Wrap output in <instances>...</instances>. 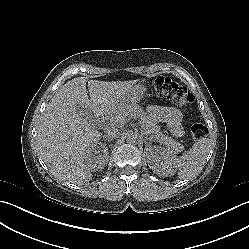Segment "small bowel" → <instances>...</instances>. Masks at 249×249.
Wrapping results in <instances>:
<instances>
[{
	"label": "small bowel",
	"mask_w": 249,
	"mask_h": 249,
	"mask_svg": "<svg viewBox=\"0 0 249 249\" xmlns=\"http://www.w3.org/2000/svg\"><path fill=\"white\" fill-rule=\"evenodd\" d=\"M147 110L155 118L160 119L166 123L173 134H182V129L179 122L180 118L172 108L163 106H150Z\"/></svg>",
	"instance_id": "obj_1"
}]
</instances>
